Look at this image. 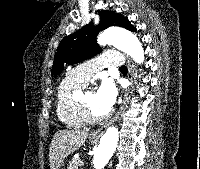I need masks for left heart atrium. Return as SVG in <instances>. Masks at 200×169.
I'll return each mask as SVG.
<instances>
[{
  "label": "left heart atrium",
  "instance_id": "1",
  "mask_svg": "<svg viewBox=\"0 0 200 169\" xmlns=\"http://www.w3.org/2000/svg\"><path fill=\"white\" fill-rule=\"evenodd\" d=\"M96 98L103 112L108 114L117 98V88L112 81H104L96 91Z\"/></svg>",
  "mask_w": 200,
  "mask_h": 169
}]
</instances>
